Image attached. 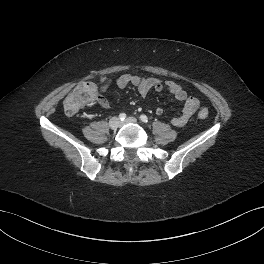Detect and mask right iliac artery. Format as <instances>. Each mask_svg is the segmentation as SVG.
Returning a JSON list of instances; mask_svg holds the SVG:
<instances>
[{
  "label": "right iliac artery",
  "mask_w": 264,
  "mask_h": 264,
  "mask_svg": "<svg viewBox=\"0 0 264 264\" xmlns=\"http://www.w3.org/2000/svg\"><path fill=\"white\" fill-rule=\"evenodd\" d=\"M125 118H126V114H125V113H121V114L119 115V119H120L121 121H123Z\"/></svg>",
  "instance_id": "82829eb1"
}]
</instances>
